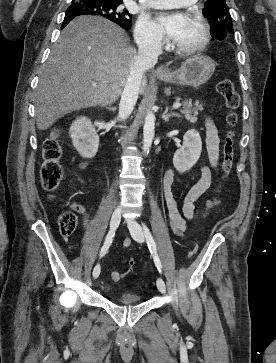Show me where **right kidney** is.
Masks as SVG:
<instances>
[{
	"label": "right kidney",
	"instance_id": "right-kidney-1",
	"mask_svg": "<svg viewBox=\"0 0 276 363\" xmlns=\"http://www.w3.org/2000/svg\"><path fill=\"white\" fill-rule=\"evenodd\" d=\"M70 137L75 149L83 158H93L99 147V136L87 117H79L73 121Z\"/></svg>",
	"mask_w": 276,
	"mask_h": 363
}]
</instances>
